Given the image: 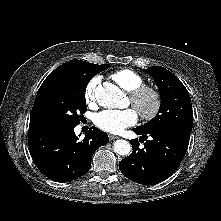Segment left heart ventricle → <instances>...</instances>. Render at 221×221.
<instances>
[{"label":"left heart ventricle","mask_w":221,"mask_h":221,"mask_svg":"<svg viewBox=\"0 0 221 221\" xmlns=\"http://www.w3.org/2000/svg\"><path fill=\"white\" fill-rule=\"evenodd\" d=\"M152 107V99L150 97H146L140 104V108L144 111H148Z\"/></svg>","instance_id":"b2bd125f"}]
</instances>
